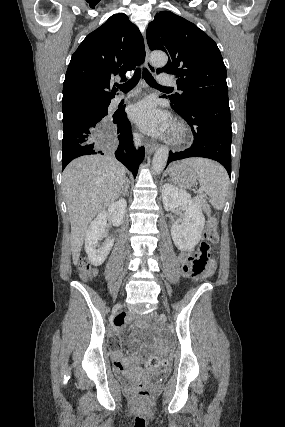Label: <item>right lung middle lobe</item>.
Masks as SVG:
<instances>
[{"mask_svg":"<svg viewBox=\"0 0 285 427\" xmlns=\"http://www.w3.org/2000/svg\"><path fill=\"white\" fill-rule=\"evenodd\" d=\"M109 103L110 102H106V103L102 104V108L104 109L105 115H107V109L106 108L108 107Z\"/></svg>","mask_w":285,"mask_h":427,"instance_id":"dd1d6c3e","label":"right lung middle lobe"}]
</instances>
